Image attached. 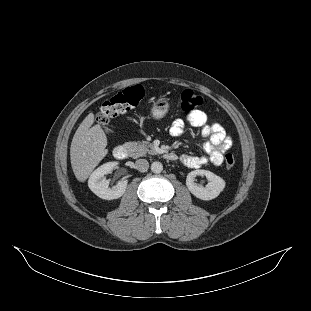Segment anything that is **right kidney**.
I'll return each mask as SVG.
<instances>
[{
  "instance_id": "1",
  "label": "right kidney",
  "mask_w": 311,
  "mask_h": 311,
  "mask_svg": "<svg viewBox=\"0 0 311 311\" xmlns=\"http://www.w3.org/2000/svg\"><path fill=\"white\" fill-rule=\"evenodd\" d=\"M119 165L120 161L106 162L91 173L88 186L97 196L103 199H116L123 195L127 185L126 181L119 180L114 186H109L104 178V174L110 173L113 168Z\"/></svg>"
}]
</instances>
